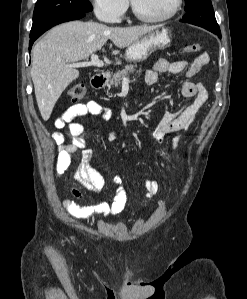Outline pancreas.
<instances>
[{
    "label": "pancreas",
    "instance_id": "pancreas-1",
    "mask_svg": "<svg viewBox=\"0 0 247 299\" xmlns=\"http://www.w3.org/2000/svg\"><path fill=\"white\" fill-rule=\"evenodd\" d=\"M135 67L136 65H127L121 71L116 72L110 79L109 86L117 88L126 76L135 71ZM139 71H141V69Z\"/></svg>",
    "mask_w": 247,
    "mask_h": 299
}]
</instances>
